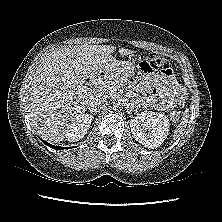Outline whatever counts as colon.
Instances as JSON below:
<instances>
[{"instance_id":"1","label":"colon","mask_w":222,"mask_h":222,"mask_svg":"<svg viewBox=\"0 0 222 222\" xmlns=\"http://www.w3.org/2000/svg\"><path fill=\"white\" fill-rule=\"evenodd\" d=\"M140 69L144 74H153L158 71L165 73L169 69V63L162 55L153 53L146 61L141 64ZM170 117L173 121H177L180 117V114L178 111H173Z\"/></svg>"}]
</instances>
